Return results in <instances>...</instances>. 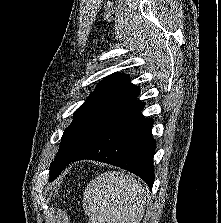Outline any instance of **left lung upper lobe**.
I'll list each match as a JSON object with an SVG mask.
<instances>
[{"label": "left lung upper lobe", "instance_id": "1", "mask_svg": "<svg viewBox=\"0 0 221 223\" xmlns=\"http://www.w3.org/2000/svg\"><path fill=\"white\" fill-rule=\"evenodd\" d=\"M125 74L114 73L103 79L89 98L74 113V121L64 131L61 145L50 167V181L110 125L139 102L140 89Z\"/></svg>", "mask_w": 221, "mask_h": 223}]
</instances>
